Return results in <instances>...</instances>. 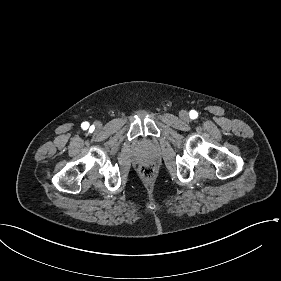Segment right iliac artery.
<instances>
[{
	"mask_svg": "<svg viewBox=\"0 0 281 281\" xmlns=\"http://www.w3.org/2000/svg\"><path fill=\"white\" fill-rule=\"evenodd\" d=\"M88 127H89V123L88 122L82 123V128L83 129H87Z\"/></svg>",
	"mask_w": 281,
	"mask_h": 281,
	"instance_id": "obj_1",
	"label": "right iliac artery"
}]
</instances>
